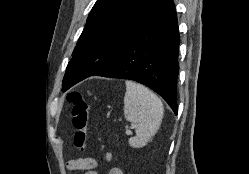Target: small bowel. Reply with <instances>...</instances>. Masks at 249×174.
Wrapping results in <instances>:
<instances>
[{
    "label": "small bowel",
    "mask_w": 249,
    "mask_h": 174,
    "mask_svg": "<svg viewBox=\"0 0 249 174\" xmlns=\"http://www.w3.org/2000/svg\"><path fill=\"white\" fill-rule=\"evenodd\" d=\"M104 158L106 161H110L111 155L106 153ZM97 165V159L93 157H84L69 160L67 163V168L73 172L85 171V174H97L95 171ZM109 174H123V172L120 168L113 167L110 169Z\"/></svg>",
    "instance_id": "small-bowel-1"
}]
</instances>
